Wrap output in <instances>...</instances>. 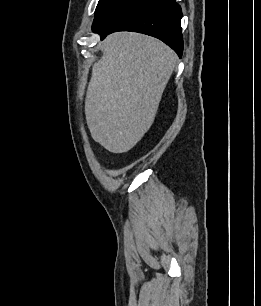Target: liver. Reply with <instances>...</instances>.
<instances>
[{"instance_id":"liver-1","label":"liver","mask_w":261,"mask_h":306,"mask_svg":"<svg viewBox=\"0 0 261 306\" xmlns=\"http://www.w3.org/2000/svg\"><path fill=\"white\" fill-rule=\"evenodd\" d=\"M85 99L92 138L112 153L132 149L154 122L176 66L174 51L158 39L117 32L100 45Z\"/></svg>"}]
</instances>
